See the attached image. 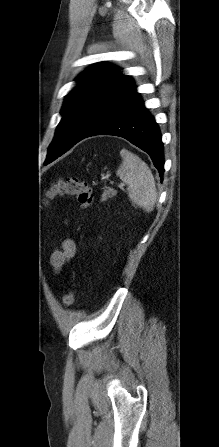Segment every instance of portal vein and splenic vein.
Wrapping results in <instances>:
<instances>
[{
  "mask_svg": "<svg viewBox=\"0 0 219 447\" xmlns=\"http://www.w3.org/2000/svg\"><path fill=\"white\" fill-rule=\"evenodd\" d=\"M117 186H118V188L122 189L124 184L123 183H119Z\"/></svg>",
  "mask_w": 219,
  "mask_h": 447,
  "instance_id": "18ae733b",
  "label": "portal vein and splenic vein"
}]
</instances>
